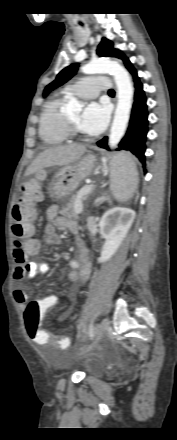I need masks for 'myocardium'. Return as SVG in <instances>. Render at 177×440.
Segmentation results:
<instances>
[{
    "label": "myocardium",
    "instance_id": "f54148a6",
    "mask_svg": "<svg viewBox=\"0 0 177 440\" xmlns=\"http://www.w3.org/2000/svg\"><path fill=\"white\" fill-rule=\"evenodd\" d=\"M64 123L68 133V136L76 137L80 136L79 130L76 128L74 123L64 114Z\"/></svg>",
    "mask_w": 177,
    "mask_h": 440
}]
</instances>
